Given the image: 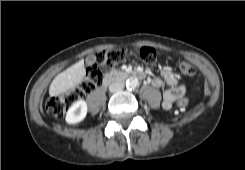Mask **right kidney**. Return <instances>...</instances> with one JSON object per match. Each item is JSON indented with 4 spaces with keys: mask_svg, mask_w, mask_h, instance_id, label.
Listing matches in <instances>:
<instances>
[{
    "mask_svg": "<svg viewBox=\"0 0 245 170\" xmlns=\"http://www.w3.org/2000/svg\"><path fill=\"white\" fill-rule=\"evenodd\" d=\"M87 115V103L84 100H78L73 103L66 114V122L69 124L79 123Z\"/></svg>",
    "mask_w": 245,
    "mask_h": 170,
    "instance_id": "obj_1",
    "label": "right kidney"
}]
</instances>
